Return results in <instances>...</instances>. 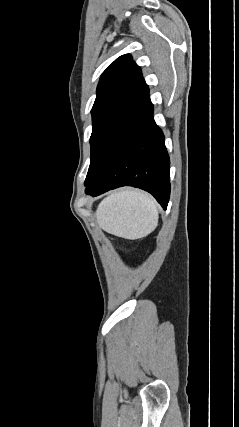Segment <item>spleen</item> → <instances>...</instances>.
I'll return each mask as SVG.
<instances>
[{"label":"spleen","instance_id":"1","mask_svg":"<svg viewBox=\"0 0 239 427\" xmlns=\"http://www.w3.org/2000/svg\"><path fill=\"white\" fill-rule=\"evenodd\" d=\"M95 216L104 231L129 240L147 236L158 225L156 201L136 189L120 190L104 198Z\"/></svg>","mask_w":239,"mask_h":427}]
</instances>
